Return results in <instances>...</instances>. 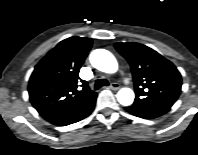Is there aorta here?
<instances>
[{
  "mask_svg": "<svg viewBox=\"0 0 198 155\" xmlns=\"http://www.w3.org/2000/svg\"><path fill=\"white\" fill-rule=\"evenodd\" d=\"M90 63L99 71L105 73H114L118 69V63L114 55L105 49H96L90 54ZM118 102L123 106H129L133 103L135 95L132 89L122 88L118 91Z\"/></svg>",
  "mask_w": 198,
  "mask_h": 155,
  "instance_id": "762f6f07",
  "label": "aorta"
}]
</instances>
